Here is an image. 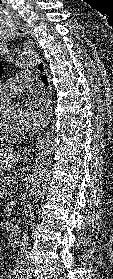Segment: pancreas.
<instances>
[{
    "label": "pancreas",
    "mask_w": 113,
    "mask_h": 279,
    "mask_svg": "<svg viewBox=\"0 0 113 279\" xmlns=\"http://www.w3.org/2000/svg\"><path fill=\"white\" fill-rule=\"evenodd\" d=\"M8 183H9V179L8 178H3L0 180V197L3 196L8 189Z\"/></svg>",
    "instance_id": "obj_1"
}]
</instances>
